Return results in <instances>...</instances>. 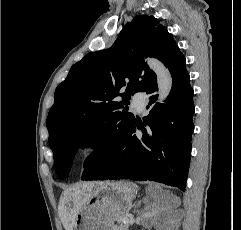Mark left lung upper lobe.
<instances>
[{"label":"left lung upper lobe","mask_w":241,"mask_h":230,"mask_svg":"<svg viewBox=\"0 0 241 230\" xmlns=\"http://www.w3.org/2000/svg\"><path fill=\"white\" fill-rule=\"evenodd\" d=\"M179 54L167 28L154 16L142 15L122 29L110 48L88 53L71 67L56 88L46 121L59 178L67 177L78 147L114 141L134 122L128 99L156 82L144 57L158 58L169 68Z\"/></svg>","instance_id":"obj_1"}]
</instances>
